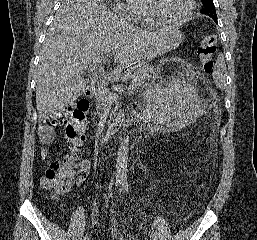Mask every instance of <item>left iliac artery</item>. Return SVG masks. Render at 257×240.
<instances>
[{"instance_id": "left-iliac-artery-1", "label": "left iliac artery", "mask_w": 257, "mask_h": 240, "mask_svg": "<svg viewBox=\"0 0 257 240\" xmlns=\"http://www.w3.org/2000/svg\"><path fill=\"white\" fill-rule=\"evenodd\" d=\"M123 187L126 190V192L128 193V183L126 181L123 182Z\"/></svg>"}]
</instances>
